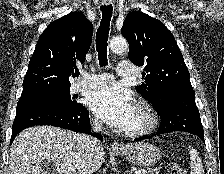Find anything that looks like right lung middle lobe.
I'll use <instances>...</instances> for the list:
<instances>
[{"label":"right lung middle lobe","mask_w":224,"mask_h":174,"mask_svg":"<svg viewBox=\"0 0 224 174\" xmlns=\"http://www.w3.org/2000/svg\"><path fill=\"white\" fill-rule=\"evenodd\" d=\"M33 96L48 97L51 99H55L56 101L65 106H73L76 104V101L71 99L70 86L49 85L27 94H21L20 98L33 97Z\"/></svg>","instance_id":"dd1d6c3e"}]
</instances>
